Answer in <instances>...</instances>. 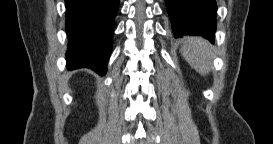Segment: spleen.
<instances>
[{
	"mask_svg": "<svg viewBox=\"0 0 273 144\" xmlns=\"http://www.w3.org/2000/svg\"><path fill=\"white\" fill-rule=\"evenodd\" d=\"M189 65L201 75H206L211 67V45L200 37L186 38L180 51Z\"/></svg>",
	"mask_w": 273,
	"mask_h": 144,
	"instance_id": "obj_1",
	"label": "spleen"
}]
</instances>
